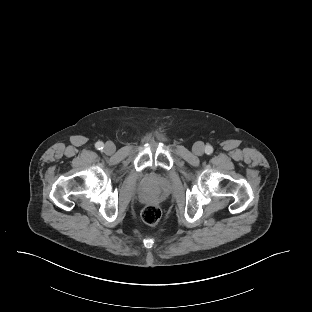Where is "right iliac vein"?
<instances>
[{"label":"right iliac vein","mask_w":312,"mask_h":312,"mask_svg":"<svg viewBox=\"0 0 312 312\" xmlns=\"http://www.w3.org/2000/svg\"><path fill=\"white\" fill-rule=\"evenodd\" d=\"M104 152L106 154H113L115 152V145L112 142H107L104 146Z\"/></svg>","instance_id":"right-iliac-vein-1"}]
</instances>
